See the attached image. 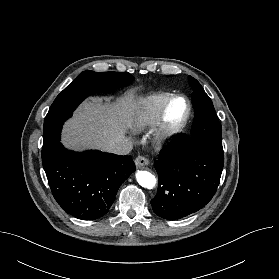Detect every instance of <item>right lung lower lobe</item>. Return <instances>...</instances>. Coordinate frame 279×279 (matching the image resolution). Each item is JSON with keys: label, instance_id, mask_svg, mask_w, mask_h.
Masks as SVG:
<instances>
[{"label": "right lung lower lobe", "instance_id": "right-lung-lower-lobe-1", "mask_svg": "<svg viewBox=\"0 0 279 279\" xmlns=\"http://www.w3.org/2000/svg\"><path fill=\"white\" fill-rule=\"evenodd\" d=\"M42 161L58 204L82 220L105 215L120 185L135 171L131 156L96 150L73 152L61 143Z\"/></svg>", "mask_w": 279, "mask_h": 279}]
</instances>
